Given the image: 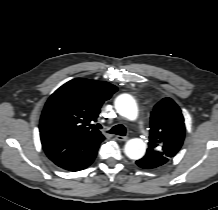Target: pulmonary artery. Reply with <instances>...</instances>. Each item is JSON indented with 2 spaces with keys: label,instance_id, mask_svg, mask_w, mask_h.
Masks as SVG:
<instances>
[{
  "label": "pulmonary artery",
  "instance_id": "e3ab8cb5",
  "mask_svg": "<svg viewBox=\"0 0 218 210\" xmlns=\"http://www.w3.org/2000/svg\"><path fill=\"white\" fill-rule=\"evenodd\" d=\"M138 125L140 128H143V122L141 120L138 121Z\"/></svg>",
  "mask_w": 218,
  "mask_h": 210
}]
</instances>
